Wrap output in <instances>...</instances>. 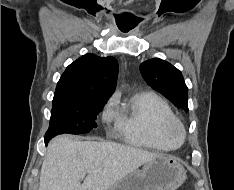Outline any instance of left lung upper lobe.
Instances as JSON below:
<instances>
[{
  "label": "left lung upper lobe",
  "mask_w": 234,
  "mask_h": 190,
  "mask_svg": "<svg viewBox=\"0 0 234 190\" xmlns=\"http://www.w3.org/2000/svg\"><path fill=\"white\" fill-rule=\"evenodd\" d=\"M140 71L149 86L178 108L188 111V88L181 72L167 61L154 58L143 62Z\"/></svg>",
  "instance_id": "obj_1"
}]
</instances>
